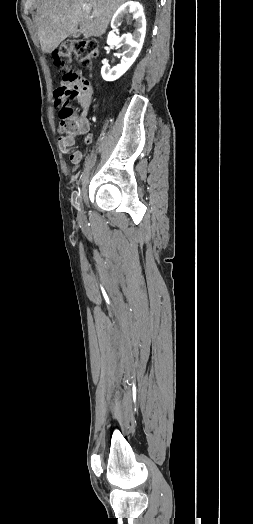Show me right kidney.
Returning a JSON list of instances; mask_svg holds the SVG:
<instances>
[{
    "instance_id": "1",
    "label": "right kidney",
    "mask_w": 253,
    "mask_h": 524,
    "mask_svg": "<svg viewBox=\"0 0 253 524\" xmlns=\"http://www.w3.org/2000/svg\"><path fill=\"white\" fill-rule=\"evenodd\" d=\"M125 17L128 19L133 17L135 30L132 34L127 33L118 37L114 34V31ZM111 28L113 30L108 35L107 44L121 48L120 55L122 58L117 67L110 68L108 65L102 67L101 75L106 81H114L122 76L134 63L141 51L146 33V20L142 5L134 1L123 4L113 16Z\"/></svg>"
}]
</instances>
